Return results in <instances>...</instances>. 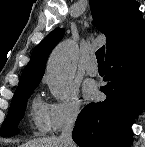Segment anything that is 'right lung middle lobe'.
<instances>
[{
	"mask_svg": "<svg viewBox=\"0 0 145 147\" xmlns=\"http://www.w3.org/2000/svg\"><path fill=\"white\" fill-rule=\"evenodd\" d=\"M37 86H31L23 89H18L12 99V103L1 129L0 135L12 136L18 134V123L23 117L26 109V103Z\"/></svg>",
	"mask_w": 145,
	"mask_h": 147,
	"instance_id": "right-lung-middle-lobe-1",
	"label": "right lung middle lobe"
}]
</instances>
